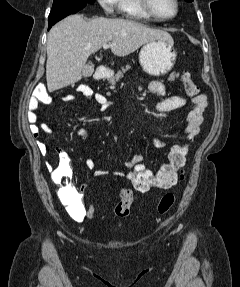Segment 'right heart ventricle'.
<instances>
[{"label": "right heart ventricle", "instance_id": "1", "mask_svg": "<svg viewBox=\"0 0 240 287\" xmlns=\"http://www.w3.org/2000/svg\"><path fill=\"white\" fill-rule=\"evenodd\" d=\"M117 10L121 16L126 18L137 20L151 19V17L143 10L140 0H118Z\"/></svg>", "mask_w": 240, "mask_h": 287}]
</instances>
